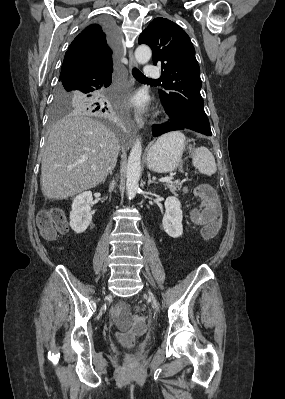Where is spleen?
<instances>
[{"mask_svg":"<svg viewBox=\"0 0 285 399\" xmlns=\"http://www.w3.org/2000/svg\"><path fill=\"white\" fill-rule=\"evenodd\" d=\"M191 149V147H190ZM193 166L198 171L205 175H213L217 171L216 163L213 154L206 147L194 148L192 153Z\"/></svg>","mask_w":285,"mask_h":399,"instance_id":"spleen-1","label":"spleen"}]
</instances>
